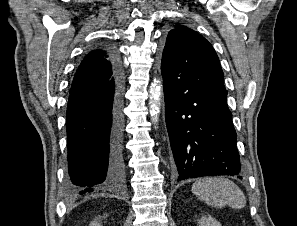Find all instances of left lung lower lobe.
I'll return each mask as SVG.
<instances>
[{"instance_id": "left-lung-lower-lobe-1", "label": "left lung lower lobe", "mask_w": 297, "mask_h": 226, "mask_svg": "<svg viewBox=\"0 0 297 226\" xmlns=\"http://www.w3.org/2000/svg\"><path fill=\"white\" fill-rule=\"evenodd\" d=\"M165 120L178 181L236 175L242 168L225 88L199 90L162 73Z\"/></svg>"}]
</instances>
